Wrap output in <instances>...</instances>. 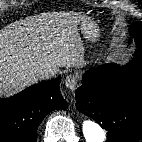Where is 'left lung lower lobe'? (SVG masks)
<instances>
[{
    "instance_id": "left-lung-lower-lobe-1",
    "label": "left lung lower lobe",
    "mask_w": 142,
    "mask_h": 142,
    "mask_svg": "<svg viewBox=\"0 0 142 142\" xmlns=\"http://www.w3.org/2000/svg\"><path fill=\"white\" fill-rule=\"evenodd\" d=\"M75 95L77 109L107 130L106 142L141 140L142 54L125 66L107 64L87 71Z\"/></svg>"
}]
</instances>
